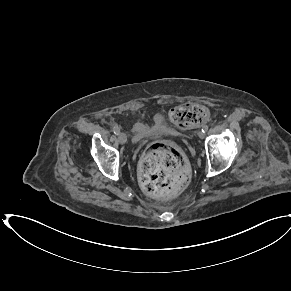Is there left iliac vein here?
Returning a JSON list of instances; mask_svg holds the SVG:
<instances>
[{
    "label": "left iliac vein",
    "mask_w": 291,
    "mask_h": 291,
    "mask_svg": "<svg viewBox=\"0 0 291 291\" xmlns=\"http://www.w3.org/2000/svg\"><path fill=\"white\" fill-rule=\"evenodd\" d=\"M197 135H198V137L201 138V139H203V138L205 137V133L202 132V130H199V131L197 132Z\"/></svg>",
    "instance_id": "4c4485c4"
}]
</instances>
